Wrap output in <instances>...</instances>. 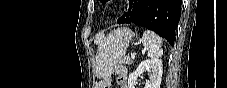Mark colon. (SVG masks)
Wrapping results in <instances>:
<instances>
[{"label": "colon", "mask_w": 227, "mask_h": 88, "mask_svg": "<svg viewBox=\"0 0 227 88\" xmlns=\"http://www.w3.org/2000/svg\"><path fill=\"white\" fill-rule=\"evenodd\" d=\"M99 87H100V88H106V86H105V85H103V84H102L101 86H99Z\"/></svg>", "instance_id": "5ec220e1"}]
</instances>
